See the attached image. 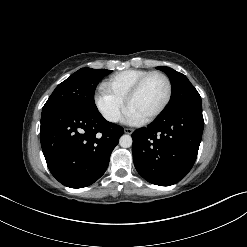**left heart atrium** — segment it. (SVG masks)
Here are the masks:
<instances>
[{"instance_id":"1","label":"left heart atrium","mask_w":247,"mask_h":247,"mask_svg":"<svg viewBox=\"0 0 247 247\" xmlns=\"http://www.w3.org/2000/svg\"><path fill=\"white\" fill-rule=\"evenodd\" d=\"M125 121L130 124H138L142 122V118L138 116L133 110L130 108H127L126 114H125Z\"/></svg>"}]
</instances>
